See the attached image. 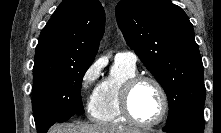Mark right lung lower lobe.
<instances>
[{
  "label": "right lung lower lobe",
  "instance_id": "98d812e1",
  "mask_svg": "<svg viewBox=\"0 0 221 133\" xmlns=\"http://www.w3.org/2000/svg\"><path fill=\"white\" fill-rule=\"evenodd\" d=\"M56 123L55 121H50L44 123L42 126L36 127L38 133H46L47 130L54 124Z\"/></svg>",
  "mask_w": 221,
  "mask_h": 133
}]
</instances>
